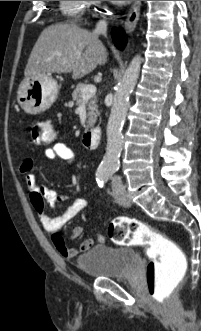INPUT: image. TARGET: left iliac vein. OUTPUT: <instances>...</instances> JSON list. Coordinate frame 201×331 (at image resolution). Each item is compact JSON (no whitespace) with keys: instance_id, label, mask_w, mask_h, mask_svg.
Wrapping results in <instances>:
<instances>
[{"instance_id":"obj_1","label":"left iliac vein","mask_w":201,"mask_h":331,"mask_svg":"<svg viewBox=\"0 0 201 331\" xmlns=\"http://www.w3.org/2000/svg\"><path fill=\"white\" fill-rule=\"evenodd\" d=\"M112 187L116 192H121L124 189L122 182L116 178L113 179Z\"/></svg>"}]
</instances>
